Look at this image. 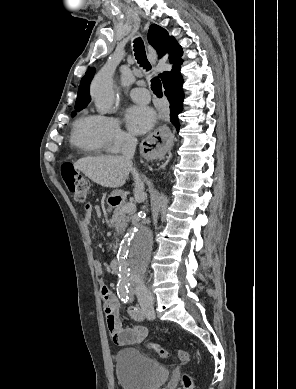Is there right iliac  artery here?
Here are the masks:
<instances>
[{
  "label": "right iliac artery",
  "mask_w": 296,
  "mask_h": 389,
  "mask_svg": "<svg viewBox=\"0 0 296 389\" xmlns=\"http://www.w3.org/2000/svg\"><path fill=\"white\" fill-rule=\"evenodd\" d=\"M118 296H119V298H121V300L123 302H128L130 299L128 288L126 286L119 288L118 289Z\"/></svg>",
  "instance_id": "obj_1"
}]
</instances>
